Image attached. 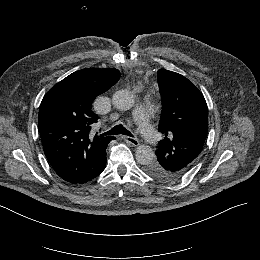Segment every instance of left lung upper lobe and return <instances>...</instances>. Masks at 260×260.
Listing matches in <instances>:
<instances>
[{
    "mask_svg": "<svg viewBox=\"0 0 260 260\" xmlns=\"http://www.w3.org/2000/svg\"><path fill=\"white\" fill-rule=\"evenodd\" d=\"M162 97L158 130L165 134L157 160L146 171L164 181L180 179L196 163L208 132L207 104L202 93L184 76L164 69L157 74Z\"/></svg>",
    "mask_w": 260,
    "mask_h": 260,
    "instance_id": "left-lung-upper-lobe-1",
    "label": "left lung upper lobe"
}]
</instances>
